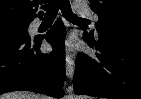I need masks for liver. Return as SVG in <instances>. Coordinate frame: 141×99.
Returning <instances> with one entry per match:
<instances>
[{"instance_id":"obj_1","label":"liver","mask_w":141,"mask_h":99,"mask_svg":"<svg viewBox=\"0 0 141 99\" xmlns=\"http://www.w3.org/2000/svg\"><path fill=\"white\" fill-rule=\"evenodd\" d=\"M38 94L27 91L11 92L0 96V99H40Z\"/></svg>"}]
</instances>
